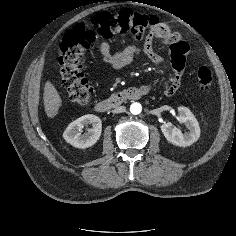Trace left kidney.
Returning a JSON list of instances; mask_svg holds the SVG:
<instances>
[{
	"label": "left kidney",
	"mask_w": 236,
	"mask_h": 236,
	"mask_svg": "<svg viewBox=\"0 0 236 236\" xmlns=\"http://www.w3.org/2000/svg\"><path fill=\"white\" fill-rule=\"evenodd\" d=\"M178 121L184 123L188 132L183 134L172 126L170 122L161 125V131L167 141L173 145L187 147L195 143L200 136V127L197 119L187 107H178Z\"/></svg>",
	"instance_id": "left-kidney-1"
}]
</instances>
